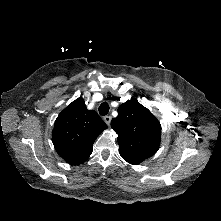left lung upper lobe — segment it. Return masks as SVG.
Masks as SVG:
<instances>
[{
	"instance_id": "1",
	"label": "left lung upper lobe",
	"mask_w": 221,
	"mask_h": 221,
	"mask_svg": "<svg viewBox=\"0 0 221 221\" xmlns=\"http://www.w3.org/2000/svg\"><path fill=\"white\" fill-rule=\"evenodd\" d=\"M111 127L118 134L121 157L130 164L141 163L159 149L161 125L136 99L119 106L118 116L112 119Z\"/></svg>"
}]
</instances>
